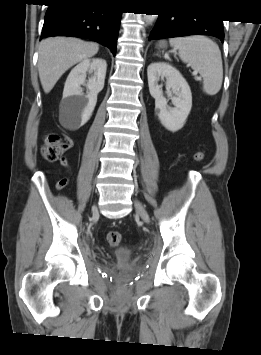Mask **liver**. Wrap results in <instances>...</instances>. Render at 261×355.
Here are the masks:
<instances>
[{
	"label": "liver",
	"mask_w": 261,
	"mask_h": 355,
	"mask_svg": "<svg viewBox=\"0 0 261 355\" xmlns=\"http://www.w3.org/2000/svg\"><path fill=\"white\" fill-rule=\"evenodd\" d=\"M99 45L76 38H47L39 44L38 71L45 93H49L60 77L73 65L94 56Z\"/></svg>",
	"instance_id": "obj_1"
}]
</instances>
